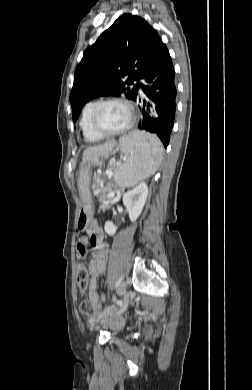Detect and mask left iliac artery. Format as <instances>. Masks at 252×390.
I'll list each match as a JSON object with an SVG mask.
<instances>
[{
	"label": "left iliac artery",
	"instance_id": "left-iliac-artery-1",
	"mask_svg": "<svg viewBox=\"0 0 252 390\" xmlns=\"http://www.w3.org/2000/svg\"><path fill=\"white\" fill-rule=\"evenodd\" d=\"M122 279H123V276H121V277L119 278V280L117 281V283H116V285H115L116 288L120 285ZM116 303H117L118 305H121V304H122V301L117 300Z\"/></svg>",
	"mask_w": 252,
	"mask_h": 390
}]
</instances>
